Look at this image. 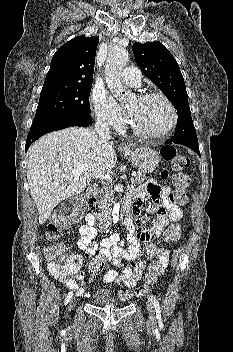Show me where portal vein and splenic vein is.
<instances>
[{
    "mask_svg": "<svg viewBox=\"0 0 233 352\" xmlns=\"http://www.w3.org/2000/svg\"><path fill=\"white\" fill-rule=\"evenodd\" d=\"M86 165H79L77 168H74L71 173L77 175L80 172L85 171L87 168ZM132 176H136V173H132ZM94 177L99 178V179H107L111 180V175L110 174H94Z\"/></svg>",
    "mask_w": 233,
    "mask_h": 352,
    "instance_id": "18ae733b",
    "label": "portal vein and splenic vein"
}]
</instances>
